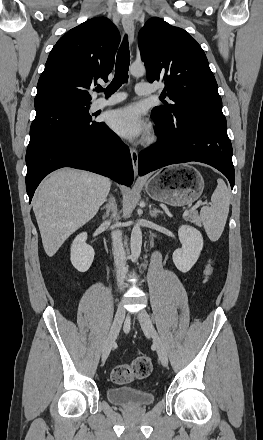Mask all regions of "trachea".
<instances>
[{"label": "trachea", "instance_id": "3493384b", "mask_svg": "<svg viewBox=\"0 0 263 440\" xmlns=\"http://www.w3.org/2000/svg\"><path fill=\"white\" fill-rule=\"evenodd\" d=\"M129 64V44L127 36H125L117 54L114 79L105 90L102 87H99L96 89V91H104L106 96H110L111 94L116 92L122 84L127 83L128 81Z\"/></svg>", "mask_w": 263, "mask_h": 440}]
</instances>
